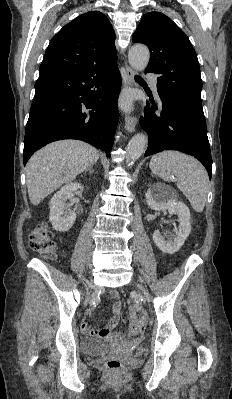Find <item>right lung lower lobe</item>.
I'll return each mask as SVG.
<instances>
[{
    "instance_id": "1",
    "label": "right lung lower lobe",
    "mask_w": 232,
    "mask_h": 399,
    "mask_svg": "<svg viewBox=\"0 0 232 399\" xmlns=\"http://www.w3.org/2000/svg\"><path fill=\"white\" fill-rule=\"evenodd\" d=\"M121 77L117 59L77 70L40 71L24 138V165L46 144L78 139L104 150L113 146Z\"/></svg>"
}]
</instances>
